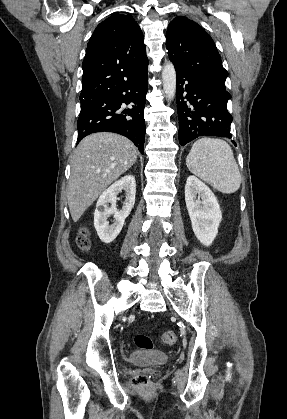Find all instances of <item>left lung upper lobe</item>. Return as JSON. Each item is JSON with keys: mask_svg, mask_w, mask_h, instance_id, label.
Wrapping results in <instances>:
<instances>
[{"mask_svg": "<svg viewBox=\"0 0 287 419\" xmlns=\"http://www.w3.org/2000/svg\"><path fill=\"white\" fill-rule=\"evenodd\" d=\"M166 48L176 72L225 83L228 72L212 38L185 17L173 19L167 30Z\"/></svg>", "mask_w": 287, "mask_h": 419, "instance_id": "left-lung-upper-lobe-1", "label": "left lung upper lobe"}]
</instances>
